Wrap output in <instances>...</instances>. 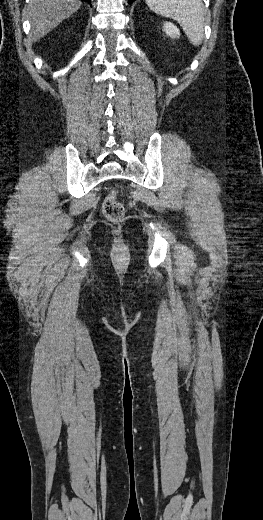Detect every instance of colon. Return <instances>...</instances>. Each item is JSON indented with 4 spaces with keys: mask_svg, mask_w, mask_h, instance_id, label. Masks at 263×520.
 I'll use <instances>...</instances> for the list:
<instances>
[{
    "mask_svg": "<svg viewBox=\"0 0 263 520\" xmlns=\"http://www.w3.org/2000/svg\"><path fill=\"white\" fill-rule=\"evenodd\" d=\"M102 211L106 219L111 222H119L125 215L123 204L118 200L115 191H111L105 198Z\"/></svg>",
    "mask_w": 263,
    "mask_h": 520,
    "instance_id": "5ec220e1",
    "label": "colon"
}]
</instances>
